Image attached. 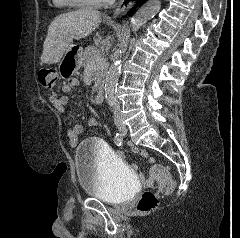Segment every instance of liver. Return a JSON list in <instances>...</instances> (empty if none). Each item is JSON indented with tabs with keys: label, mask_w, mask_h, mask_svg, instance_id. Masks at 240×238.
<instances>
[{
	"label": "liver",
	"mask_w": 240,
	"mask_h": 238,
	"mask_svg": "<svg viewBox=\"0 0 240 238\" xmlns=\"http://www.w3.org/2000/svg\"><path fill=\"white\" fill-rule=\"evenodd\" d=\"M100 22V12L88 9H79L57 16L48 28L40 58L41 65L58 63L73 39L87 37Z\"/></svg>",
	"instance_id": "6515ba94"
}]
</instances>
